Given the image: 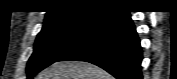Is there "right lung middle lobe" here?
<instances>
[{
	"label": "right lung middle lobe",
	"mask_w": 177,
	"mask_h": 79,
	"mask_svg": "<svg viewBox=\"0 0 177 79\" xmlns=\"http://www.w3.org/2000/svg\"><path fill=\"white\" fill-rule=\"evenodd\" d=\"M101 18L88 16L44 25L27 64L28 79L79 44L99 24Z\"/></svg>",
	"instance_id": "1"
}]
</instances>
